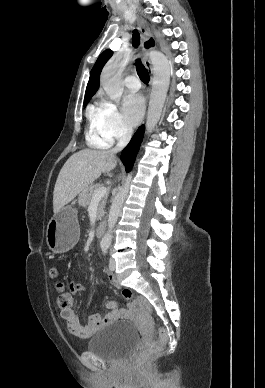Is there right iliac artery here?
I'll return each instance as SVG.
<instances>
[{"label": "right iliac artery", "instance_id": "1", "mask_svg": "<svg viewBox=\"0 0 265 388\" xmlns=\"http://www.w3.org/2000/svg\"><path fill=\"white\" fill-rule=\"evenodd\" d=\"M108 247L109 246L107 244H102L101 245V248H102V251H103L104 254L107 252Z\"/></svg>", "mask_w": 265, "mask_h": 388}]
</instances>
